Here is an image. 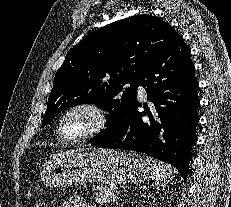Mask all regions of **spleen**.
Instances as JSON below:
<instances>
[{
	"label": "spleen",
	"instance_id": "obj_1",
	"mask_svg": "<svg viewBox=\"0 0 231 207\" xmlns=\"http://www.w3.org/2000/svg\"><path fill=\"white\" fill-rule=\"evenodd\" d=\"M146 162L150 167L151 178L155 182V186L165 187L175 176V169L169 164L154 160L153 158H146Z\"/></svg>",
	"mask_w": 231,
	"mask_h": 207
}]
</instances>
